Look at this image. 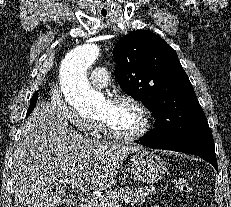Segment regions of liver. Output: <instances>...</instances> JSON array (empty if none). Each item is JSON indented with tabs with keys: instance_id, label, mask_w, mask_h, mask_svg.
I'll list each match as a JSON object with an SVG mask.
<instances>
[{
	"instance_id": "6515ba94",
	"label": "liver",
	"mask_w": 231,
	"mask_h": 207,
	"mask_svg": "<svg viewBox=\"0 0 231 207\" xmlns=\"http://www.w3.org/2000/svg\"><path fill=\"white\" fill-rule=\"evenodd\" d=\"M143 150L85 138L48 102H38L25 122L13 154L15 207H58L65 199L63 179L107 190L117 181L126 157Z\"/></svg>"
}]
</instances>
